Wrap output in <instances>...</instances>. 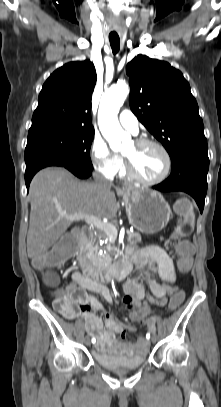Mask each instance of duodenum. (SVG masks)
I'll return each mask as SVG.
<instances>
[{
  "label": "duodenum",
  "instance_id": "obj_1",
  "mask_svg": "<svg viewBox=\"0 0 221 407\" xmlns=\"http://www.w3.org/2000/svg\"><path fill=\"white\" fill-rule=\"evenodd\" d=\"M81 232L83 235L79 239L81 242H83L89 235L90 230L88 228H83ZM77 259L83 273L99 282H109L111 280L121 278L129 274L132 270L131 260L128 255L124 257L117 266H107L103 268L95 267L83 254L82 250L79 251Z\"/></svg>",
  "mask_w": 221,
  "mask_h": 407
}]
</instances>
